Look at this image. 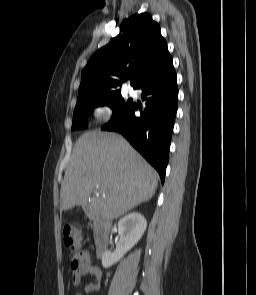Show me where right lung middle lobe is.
Instances as JSON below:
<instances>
[{"label": "right lung middle lobe", "mask_w": 256, "mask_h": 295, "mask_svg": "<svg viewBox=\"0 0 256 295\" xmlns=\"http://www.w3.org/2000/svg\"><path fill=\"white\" fill-rule=\"evenodd\" d=\"M107 105L112 108L113 116L122 114L130 105L131 102H124L121 94L106 98H85L77 100V105L73 114L72 130L87 128V117L89 113L98 106Z\"/></svg>", "instance_id": "right-lung-middle-lobe-1"}]
</instances>
